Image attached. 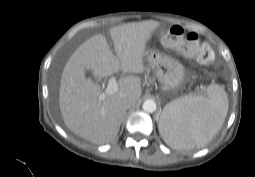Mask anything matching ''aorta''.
Instances as JSON below:
<instances>
[{"label": "aorta", "mask_w": 255, "mask_h": 177, "mask_svg": "<svg viewBox=\"0 0 255 177\" xmlns=\"http://www.w3.org/2000/svg\"><path fill=\"white\" fill-rule=\"evenodd\" d=\"M142 107L145 112L152 113L156 110V103L153 100L148 99L144 101Z\"/></svg>", "instance_id": "1"}]
</instances>
